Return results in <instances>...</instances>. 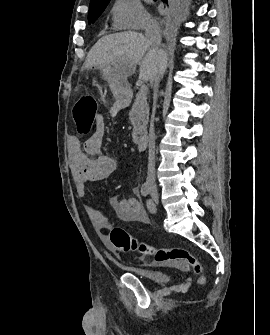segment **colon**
Wrapping results in <instances>:
<instances>
[{"mask_svg":"<svg viewBox=\"0 0 270 335\" xmlns=\"http://www.w3.org/2000/svg\"><path fill=\"white\" fill-rule=\"evenodd\" d=\"M78 110L72 111L75 117L77 133L87 135L90 133L98 109L96 99L91 96L83 97L76 104ZM110 238L119 252H139L148 256L150 260L158 264H171L181 269L191 270L196 276L198 285L204 284L202 265L200 260L185 248H159L151 244L139 242L125 229L114 227L110 232Z\"/></svg>","mask_w":270,"mask_h":335,"instance_id":"5ec220e1","label":"colon"}]
</instances>
